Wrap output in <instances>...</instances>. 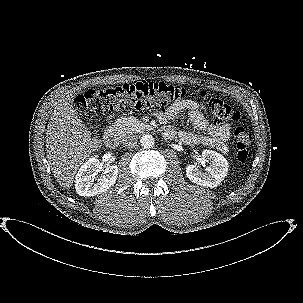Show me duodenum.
<instances>
[{"label": "duodenum", "mask_w": 303, "mask_h": 303, "mask_svg": "<svg viewBox=\"0 0 303 303\" xmlns=\"http://www.w3.org/2000/svg\"><path fill=\"white\" fill-rule=\"evenodd\" d=\"M104 141L106 145L110 148H115L119 143V136L115 131H107Z\"/></svg>", "instance_id": "410a0bca"}]
</instances>
